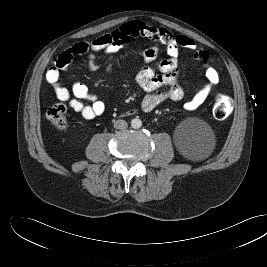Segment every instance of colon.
Returning <instances> with one entry per match:
<instances>
[{"instance_id":"5ec220e1","label":"colon","mask_w":267,"mask_h":267,"mask_svg":"<svg viewBox=\"0 0 267 267\" xmlns=\"http://www.w3.org/2000/svg\"><path fill=\"white\" fill-rule=\"evenodd\" d=\"M233 100L225 94H218L213 102L212 114L215 120L221 121L230 116ZM46 117L56 128L62 129L67 124V110L64 104L55 103L47 109Z\"/></svg>"}]
</instances>
